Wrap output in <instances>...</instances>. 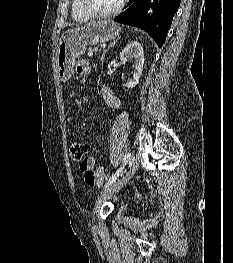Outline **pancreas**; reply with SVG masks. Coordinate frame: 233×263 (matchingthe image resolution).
<instances>
[{
	"label": "pancreas",
	"mask_w": 233,
	"mask_h": 263,
	"mask_svg": "<svg viewBox=\"0 0 233 263\" xmlns=\"http://www.w3.org/2000/svg\"><path fill=\"white\" fill-rule=\"evenodd\" d=\"M99 50V46L93 47L90 49L91 52Z\"/></svg>",
	"instance_id": "1"
}]
</instances>
